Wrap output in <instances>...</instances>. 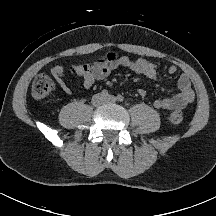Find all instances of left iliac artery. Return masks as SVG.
<instances>
[{
	"instance_id": "44dca946",
	"label": "left iliac artery",
	"mask_w": 216,
	"mask_h": 216,
	"mask_svg": "<svg viewBox=\"0 0 216 216\" xmlns=\"http://www.w3.org/2000/svg\"><path fill=\"white\" fill-rule=\"evenodd\" d=\"M117 100H118L119 102H122V101L124 100V97H123L122 95H118V96H117Z\"/></svg>"
}]
</instances>
